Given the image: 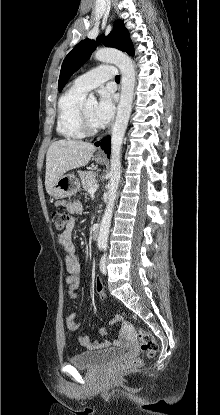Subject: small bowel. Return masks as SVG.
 I'll use <instances>...</instances> for the list:
<instances>
[{"label":"small bowel","instance_id":"c3829d8e","mask_svg":"<svg viewBox=\"0 0 220 415\" xmlns=\"http://www.w3.org/2000/svg\"><path fill=\"white\" fill-rule=\"evenodd\" d=\"M67 210L72 215H81L83 213V207L79 201H75L68 205ZM75 226V218L72 217L68 221V224L64 231L58 235L57 240L59 245L63 248L67 255V270L70 274L68 278L69 283V294L72 298H76L77 294L76 291L80 285L79 280V273L80 267L78 260L75 256V247L72 242V234ZM95 289L97 293H105L104 292V283L97 279L95 281ZM67 327L70 331H77L80 327V324L77 321V315L75 313H71L66 318ZM98 334L100 336H105L107 334V330L105 328H100L98 330ZM78 342L80 345L90 349V350H99L105 349L110 346H117L121 344V340L117 339L114 341H103V340H95L90 341L89 337L86 335H80L78 337Z\"/></svg>","mask_w":220,"mask_h":415}]
</instances>
